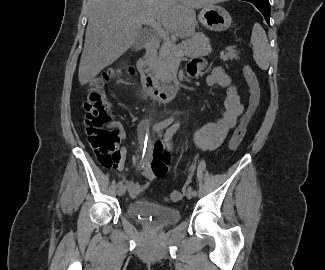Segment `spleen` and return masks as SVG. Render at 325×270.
Listing matches in <instances>:
<instances>
[{
	"label": "spleen",
	"mask_w": 325,
	"mask_h": 270,
	"mask_svg": "<svg viewBox=\"0 0 325 270\" xmlns=\"http://www.w3.org/2000/svg\"><path fill=\"white\" fill-rule=\"evenodd\" d=\"M251 43L256 64L262 70H267L270 64V46L267 35L259 23H255L253 26Z\"/></svg>",
	"instance_id": "obj_1"
}]
</instances>
